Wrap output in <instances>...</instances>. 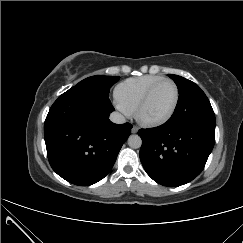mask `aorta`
I'll use <instances>...</instances> for the list:
<instances>
[{
  "mask_svg": "<svg viewBox=\"0 0 243 243\" xmlns=\"http://www.w3.org/2000/svg\"><path fill=\"white\" fill-rule=\"evenodd\" d=\"M128 145L133 149H138L142 145V139L138 135H130L128 138Z\"/></svg>",
  "mask_w": 243,
  "mask_h": 243,
  "instance_id": "obj_1",
  "label": "aorta"
}]
</instances>
